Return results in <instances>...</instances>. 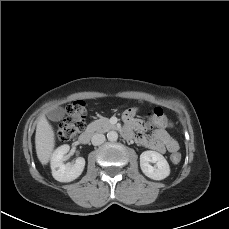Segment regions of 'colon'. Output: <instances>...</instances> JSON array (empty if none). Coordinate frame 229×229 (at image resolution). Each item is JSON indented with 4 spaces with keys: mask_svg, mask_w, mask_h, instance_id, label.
Segmentation results:
<instances>
[{
    "mask_svg": "<svg viewBox=\"0 0 229 229\" xmlns=\"http://www.w3.org/2000/svg\"><path fill=\"white\" fill-rule=\"evenodd\" d=\"M87 109L84 101H73L67 108V117L58 124L57 136L63 142H69L84 130ZM171 161L175 164L181 161V154L178 146L174 143L169 144Z\"/></svg>",
    "mask_w": 229,
    "mask_h": 229,
    "instance_id": "colon-1",
    "label": "colon"
}]
</instances>
